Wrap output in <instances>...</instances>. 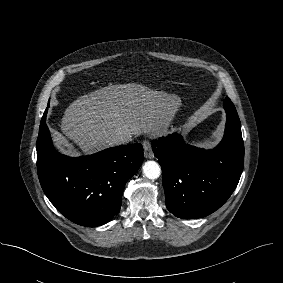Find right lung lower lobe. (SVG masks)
Here are the masks:
<instances>
[{"label":"right lung lower lobe","mask_w":283,"mask_h":283,"mask_svg":"<svg viewBox=\"0 0 283 283\" xmlns=\"http://www.w3.org/2000/svg\"><path fill=\"white\" fill-rule=\"evenodd\" d=\"M42 117L37 139V171L42 189L57 210L82 226H99L118 213L126 182L140 168L141 144L112 147L99 153L68 157L53 147Z\"/></svg>","instance_id":"obj_1"}]
</instances>
